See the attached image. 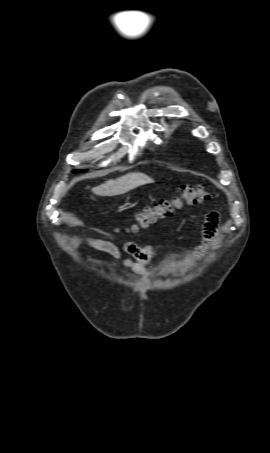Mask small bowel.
<instances>
[{"instance_id":"c3829d8e","label":"small bowel","mask_w":270,"mask_h":453,"mask_svg":"<svg viewBox=\"0 0 270 453\" xmlns=\"http://www.w3.org/2000/svg\"><path fill=\"white\" fill-rule=\"evenodd\" d=\"M219 222V214L215 211L206 216L202 227V241L195 251L198 259L204 255L210 243L217 236ZM84 243L120 260L123 266L132 273V276H127L129 280H133V276L146 277L149 264L155 254L153 247L138 246L133 242H127L123 248H119L109 241L88 237L84 239Z\"/></svg>"}]
</instances>
